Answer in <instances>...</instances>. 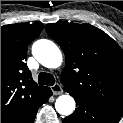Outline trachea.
Segmentation results:
<instances>
[{
	"instance_id": "3493384b",
	"label": "trachea",
	"mask_w": 123,
	"mask_h": 123,
	"mask_svg": "<svg viewBox=\"0 0 123 123\" xmlns=\"http://www.w3.org/2000/svg\"><path fill=\"white\" fill-rule=\"evenodd\" d=\"M40 85L52 86L55 83V78L52 74L49 73H40L38 76Z\"/></svg>"
}]
</instances>
